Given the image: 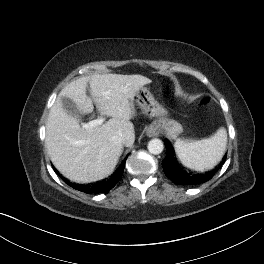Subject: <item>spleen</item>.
Instances as JSON below:
<instances>
[{
  "instance_id": "spleen-1",
  "label": "spleen",
  "mask_w": 264,
  "mask_h": 264,
  "mask_svg": "<svg viewBox=\"0 0 264 264\" xmlns=\"http://www.w3.org/2000/svg\"><path fill=\"white\" fill-rule=\"evenodd\" d=\"M227 144V132L221 127L209 138L198 141L177 139L174 143L181 163L196 171H206L216 166L222 159Z\"/></svg>"
}]
</instances>
